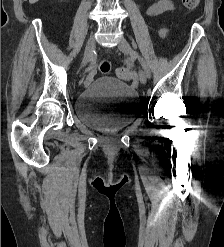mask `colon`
<instances>
[{"mask_svg":"<svg viewBox=\"0 0 224 247\" xmlns=\"http://www.w3.org/2000/svg\"><path fill=\"white\" fill-rule=\"evenodd\" d=\"M200 0H183L184 6L189 10H194L198 7ZM99 71L102 74H109L112 70L111 62L107 59H103L98 65ZM117 76L124 81H133L134 75L126 68H119L117 70Z\"/></svg>","mask_w":224,"mask_h":247,"instance_id":"colon-1","label":"colon"}]
</instances>
